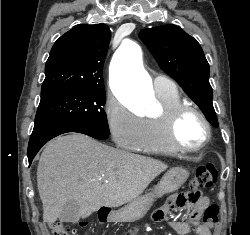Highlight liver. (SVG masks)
Returning <instances> with one entry per match:
<instances>
[{"mask_svg":"<svg viewBox=\"0 0 250 235\" xmlns=\"http://www.w3.org/2000/svg\"><path fill=\"white\" fill-rule=\"evenodd\" d=\"M167 168L159 160L112 148L83 134L57 137L44 148L37 168L43 220L60 219L69 201L79 204V218L101 207L122 206Z\"/></svg>","mask_w":250,"mask_h":235,"instance_id":"obj_1","label":"liver"}]
</instances>
